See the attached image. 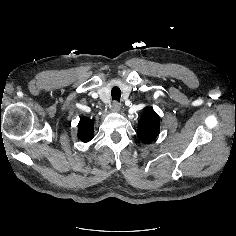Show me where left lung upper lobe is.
Returning a JSON list of instances; mask_svg holds the SVG:
<instances>
[{"mask_svg": "<svg viewBox=\"0 0 236 236\" xmlns=\"http://www.w3.org/2000/svg\"><path fill=\"white\" fill-rule=\"evenodd\" d=\"M157 113L147 107L138 122V136L146 144L154 141L159 134L160 122Z\"/></svg>", "mask_w": 236, "mask_h": 236, "instance_id": "obj_1", "label": "left lung upper lobe"}]
</instances>
